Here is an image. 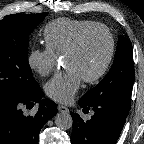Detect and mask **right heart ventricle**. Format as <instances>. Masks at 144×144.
<instances>
[{
  "label": "right heart ventricle",
  "instance_id": "right-heart-ventricle-1",
  "mask_svg": "<svg viewBox=\"0 0 144 144\" xmlns=\"http://www.w3.org/2000/svg\"><path fill=\"white\" fill-rule=\"evenodd\" d=\"M96 23L92 20L56 19L43 30L45 46L58 57L62 56L82 29Z\"/></svg>",
  "mask_w": 144,
  "mask_h": 144
}]
</instances>
